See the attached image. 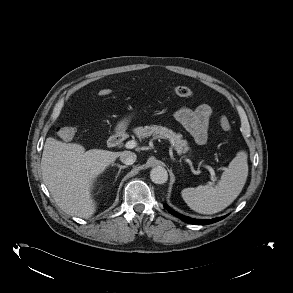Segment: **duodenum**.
Wrapping results in <instances>:
<instances>
[{"mask_svg":"<svg viewBox=\"0 0 293 293\" xmlns=\"http://www.w3.org/2000/svg\"><path fill=\"white\" fill-rule=\"evenodd\" d=\"M125 138H126L125 133L123 131H118L109 137L107 141V145L110 148L118 147L123 143Z\"/></svg>","mask_w":293,"mask_h":293,"instance_id":"obj_1","label":"duodenum"}]
</instances>
